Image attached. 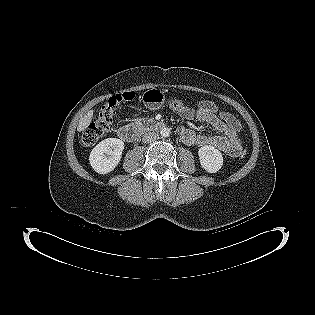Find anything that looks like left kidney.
I'll list each match as a JSON object with an SVG mask.
<instances>
[{
  "mask_svg": "<svg viewBox=\"0 0 315 315\" xmlns=\"http://www.w3.org/2000/svg\"><path fill=\"white\" fill-rule=\"evenodd\" d=\"M201 167L209 172L216 173L223 165V156L213 146L204 145L198 151Z\"/></svg>",
  "mask_w": 315,
  "mask_h": 315,
  "instance_id": "left-kidney-1",
  "label": "left kidney"
}]
</instances>
